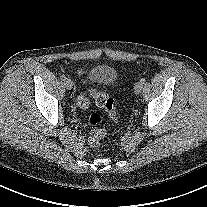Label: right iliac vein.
<instances>
[{"mask_svg": "<svg viewBox=\"0 0 207 207\" xmlns=\"http://www.w3.org/2000/svg\"><path fill=\"white\" fill-rule=\"evenodd\" d=\"M64 85L67 90H71L73 88V82L70 79H66L64 81Z\"/></svg>", "mask_w": 207, "mask_h": 207, "instance_id": "1", "label": "right iliac vein"}]
</instances>
